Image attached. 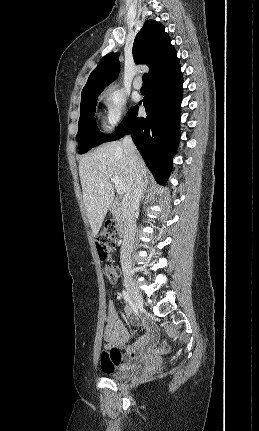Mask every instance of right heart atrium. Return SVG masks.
Wrapping results in <instances>:
<instances>
[{"mask_svg":"<svg viewBox=\"0 0 259 431\" xmlns=\"http://www.w3.org/2000/svg\"><path fill=\"white\" fill-rule=\"evenodd\" d=\"M101 100L105 105L104 123L106 127L117 128L124 122L127 115L128 101L124 93L117 87L110 86L101 93Z\"/></svg>","mask_w":259,"mask_h":431,"instance_id":"1","label":"right heart atrium"}]
</instances>
